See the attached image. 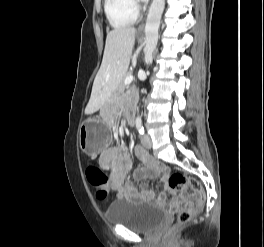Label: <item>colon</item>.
Here are the masks:
<instances>
[{
    "instance_id": "obj_1",
    "label": "colon",
    "mask_w": 264,
    "mask_h": 247,
    "mask_svg": "<svg viewBox=\"0 0 264 247\" xmlns=\"http://www.w3.org/2000/svg\"><path fill=\"white\" fill-rule=\"evenodd\" d=\"M85 174L94 187L96 197L105 199L109 192L108 177L105 172L96 166L90 165L87 166ZM168 186L181 195L175 201L178 205L176 224H187L203 208L206 202V194L199 181L179 172L170 175ZM187 191L192 192V197H183Z\"/></svg>"
}]
</instances>
